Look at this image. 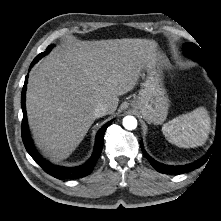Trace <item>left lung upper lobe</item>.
<instances>
[{
  "label": "left lung upper lobe",
  "mask_w": 221,
  "mask_h": 221,
  "mask_svg": "<svg viewBox=\"0 0 221 221\" xmlns=\"http://www.w3.org/2000/svg\"><path fill=\"white\" fill-rule=\"evenodd\" d=\"M185 54L199 63L207 62L203 51L194 43L184 45Z\"/></svg>",
  "instance_id": "1"
}]
</instances>
